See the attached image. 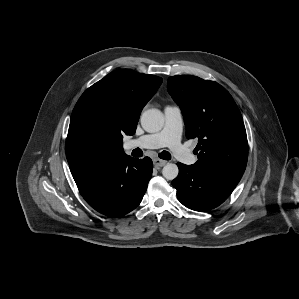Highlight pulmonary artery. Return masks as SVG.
<instances>
[{"label":"pulmonary artery","instance_id":"obj_1","mask_svg":"<svg viewBox=\"0 0 299 299\" xmlns=\"http://www.w3.org/2000/svg\"><path fill=\"white\" fill-rule=\"evenodd\" d=\"M164 127L159 132L144 135L126 144V148H161L168 147L172 154L185 164H193L196 157L181 144L182 112L178 106H167L164 109Z\"/></svg>","mask_w":299,"mask_h":299}]
</instances>
